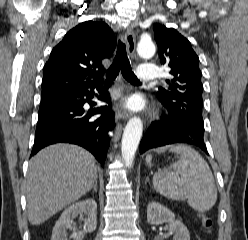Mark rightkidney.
<instances>
[{"instance_id":"ca27d5eb","label":"right kidney","mask_w":248,"mask_h":240,"mask_svg":"<svg viewBox=\"0 0 248 240\" xmlns=\"http://www.w3.org/2000/svg\"><path fill=\"white\" fill-rule=\"evenodd\" d=\"M78 216L84 220V229L74 230L70 236L73 240H82L86 233L96 229L97 203L95 200L86 199L66 208L53 228L51 240H67V230L72 228L73 220Z\"/></svg>"}]
</instances>
